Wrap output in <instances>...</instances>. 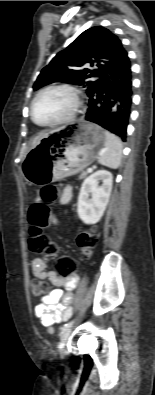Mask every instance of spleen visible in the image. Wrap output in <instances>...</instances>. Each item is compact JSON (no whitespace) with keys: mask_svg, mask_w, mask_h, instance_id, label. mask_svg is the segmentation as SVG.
Returning a JSON list of instances; mask_svg holds the SVG:
<instances>
[{"mask_svg":"<svg viewBox=\"0 0 155 395\" xmlns=\"http://www.w3.org/2000/svg\"><path fill=\"white\" fill-rule=\"evenodd\" d=\"M122 159V142L114 134L105 131L104 149L99 153L98 162L112 169H117Z\"/></svg>","mask_w":155,"mask_h":395,"instance_id":"obj_1","label":"spleen"}]
</instances>
